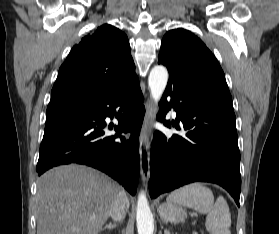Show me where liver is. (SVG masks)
I'll return each instance as SVG.
<instances>
[{"label": "liver", "mask_w": 279, "mask_h": 234, "mask_svg": "<svg viewBox=\"0 0 279 234\" xmlns=\"http://www.w3.org/2000/svg\"><path fill=\"white\" fill-rule=\"evenodd\" d=\"M119 191L109 177L82 165L47 171L37 183V234H98Z\"/></svg>", "instance_id": "obj_1"}]
</instances>
